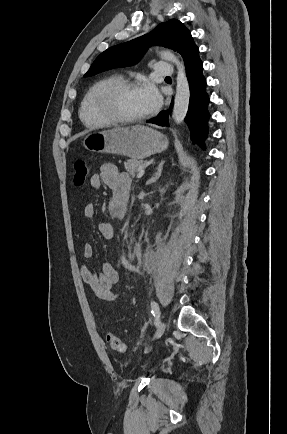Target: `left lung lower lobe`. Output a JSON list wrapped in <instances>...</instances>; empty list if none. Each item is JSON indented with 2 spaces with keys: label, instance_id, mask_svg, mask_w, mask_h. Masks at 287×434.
Here are the masks:
<instances>
[{
  "label": "left lung lower lobe",
  "instance_id": "obj_1",
  "mask_svg": "<svg viewBox=\"0 0 287 434\" xmlns=\"http://www.w3.org/2000/svg\"><path fill=\"white\" fill-rule=\"evenodd\" d=\"M185 68L190 87L189 109L185 121L189 127L192 142L205 149L210 117L208 112L209 97L206 92V80L202 73L203 64L199 58V53L185 62ZM169 114L170 110L161 111L147 122L169 126Z\"/></svg>",
  "mask_w": 287,
  "mask_h": 434
}]
</instances>
